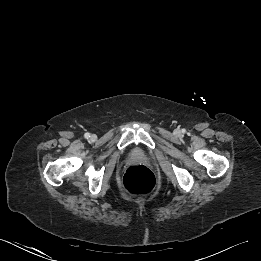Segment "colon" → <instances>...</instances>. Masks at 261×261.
<instances>
[{"label":"colon","instance_id":"1","mask_svg":"<svg viewBox=\"0 0 261 261\" xmlns=\"http://www.w3.org/2000/svg\"><path fill=\"white\" fill-rule=\"evenodd\" d=\"M155 185L153 172L144 165L129 167L124 173L121 186L129 195H141L148 193Z\"/></svg>","mask_w":261,"mask_h":261}]
</instances>
